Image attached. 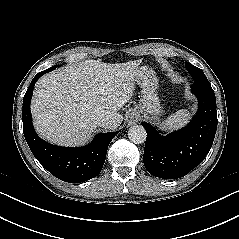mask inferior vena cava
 <instances>
[{"mask_svg": "<svg viewBox=\"0 0 239 239\" xmlns=\"http://www.w3.org/2000/svg\"><path fill=\"white\" fill-rule=\"evenodd\" d=\"M97 122L99 126H105L108 125L111 122V120L108 116H101L97 119Z\"/></svg>", "mask_w": 239, "mask_h": 239, "instance_id": "1", "label": "inferior vena cava"}]
</instances>
